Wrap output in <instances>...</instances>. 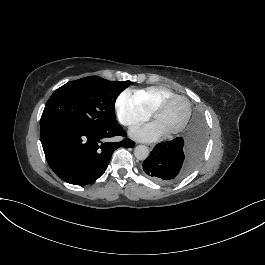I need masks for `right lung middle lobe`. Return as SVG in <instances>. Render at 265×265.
<instances>
[{
  "mask_svg": "<svg viewBox=\"0 0 265 265\" xmlns=\"http://www.w3.org/2000/svg\"><path fill=\"white\" fill-rule=\"evenodd\" d=\"M131 83L112 82L96 76L66 83L47 101L40 120L41 130L63 123L98 127L117 124L115 101Z\"/></svg>",
  "mask_w": 265,
  "mask_h": 265,
  "instance_id": "obj_1",
  "label": "right lung middle lobe"
}]
</instances>
